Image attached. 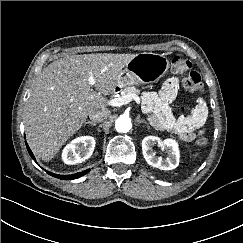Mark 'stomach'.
<instances>
[{"label": "stomach", "mask_w": 243, "mask_h": 243, "mask_svg": "<svg viewBox=\"0 0 243 243\" xmlns=\"http://www.w3.org/2000/svg\"><path fill=\"white\" fill-rule=\"evenodd\" d=\"M168 68L169 61L164 54L152 52L136 54L118 75V86L123 88L154 83L165 74Z\"/></svg>", "instance_id": "obj_1"}]
</instances>
